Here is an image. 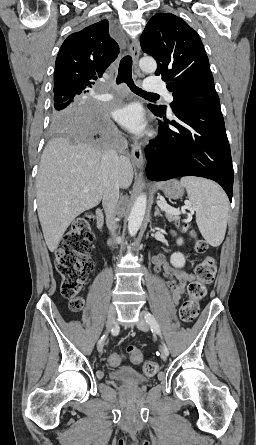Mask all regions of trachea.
<instances>
[{
	"mask_svg": "<svg viewBox=\"0 0 256 445\" xmlns=\"http://www.w3.org/2000/svg\"><path fill=\"white\" fill-rule=\"evenodd\" d=\"M116 83H126L132 92L142 97H159L158 94L143 91L134 84L132 79V58L128 55L120 61Z\"/></svg>",
	"mask_w": 256,
	"mask_h": 445,
	"instance_id": "obj_1",
	"label": "trachea"
}]
</instances>
